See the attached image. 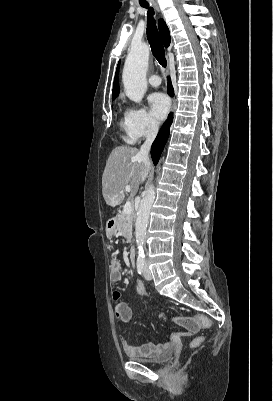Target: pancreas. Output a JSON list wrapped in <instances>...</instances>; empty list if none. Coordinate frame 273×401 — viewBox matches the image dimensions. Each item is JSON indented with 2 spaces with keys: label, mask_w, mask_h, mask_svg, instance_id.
<instances>
[{
  "label": "pancreas",
  "mask_w": 273,
  "mask_h": 401,
  "mask_svg": "<svg viewBox=\"0 0 273 401\" xmlns=\"http://www.w3.org/2000/svg\"><path fill=\"white\" fill-rule=\"evenodd\" d=\"M133 219L134 213H130V215L119 213V215H117L116 229L119 233H122V237H125V239H131L132 237Z\"/></svg>",
  "instance_id": "pancreas-1"
}]
</instances>
